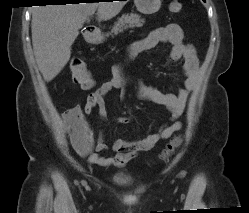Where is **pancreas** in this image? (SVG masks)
Returning <instances> with one entry per match:
<instances>
[{"instance_id": "cf45deb5", "label": "pancreas", "mask_w": 249, "mask_h": 213, "mask_svg": "<svg viewBox=\"0 0 249 213\" xmlns=\"http://www.w3.org/2000/svg\"><path fill=\"white\" fill-rule=\"evenodd\" d=\"M144 22V19H141V16L136 13L123 14L114 23L111 34L117 35L128 28L142 27Z\"/></svg>"}]
</instances>
